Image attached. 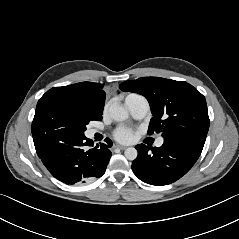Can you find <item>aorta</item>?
Here are the masks:
<instances>
[{
	"instance_id": "aorta-1",
	"label": "aorta",
	"mask_w": 239,
	"mask_h": 239,
	"mask_svg": "<svg viewBox=\"0 0 239 239\" xmlns=\"http://www.w3.org/2000/svg\"><path fill=\"white\" fill-rule=\"evenodd\" d=\"M109 114L116 122L125 121L129 117L128 111L120 106L111 107L109 109ZM124 155L128 160L133 161L137 158L138 152L134 147H129L125 150Z\"/></svg>"
}]
</instances>
